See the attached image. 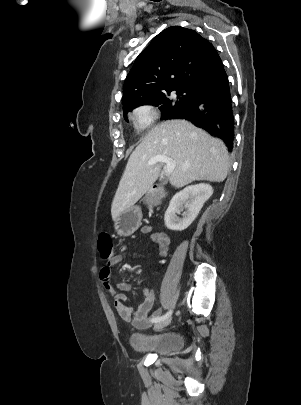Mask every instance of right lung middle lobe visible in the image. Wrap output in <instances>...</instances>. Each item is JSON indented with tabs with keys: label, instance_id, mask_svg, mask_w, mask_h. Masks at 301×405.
<instances>
[{
	"label": "right lung middle lobe",
	"instance_id": "1",
	"mask_svg": "<svg viewBox=\"0 0 301 405\" xmlns=\"http://www.w3.org/2000/svg\"><path fill=\"white\" fill-rule=\"evenodd\" d=\"M172 91L176 92L177 98L170 100L167 98V96H169ZM196 94H197V92L193 91V90L172 89V90H169V91H166L163 93H159V94L147 97L140 103V105L160 106L159 108L162 111V119H165L168 115H170L175 110L189 104L193 100V98L196 96ZM132 110L133 109L123 111L124 117L126 118V114Z\"/></svg>",
	"mask_w": 301,
	"mask_h": 405
}]
</instances>
